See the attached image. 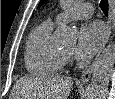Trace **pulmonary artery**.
Listing matches in <instances>:
<instances>
[{
  "label": "pulmonary artery",
  "instance_id": "1",
  "mask_svg": "<svg viewBox=\"0 0 115 99\" xmlns=\"http://www.w3.org/2000/svg\"><path fill=\"white\" fill-rule=\"evenodd\" d=\"M93 14V6L90 3L75 2L67 10L56 17L57 22H65L75 19L87 18Z\"/></svg>",
  "mask_w": 115,
  "mask_h": 99
}]
</instances>
